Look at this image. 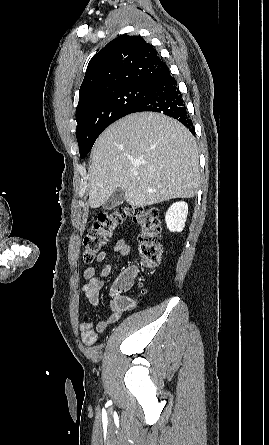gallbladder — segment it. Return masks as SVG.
Segmentation results:
<instances>
[{
    "label": "gallbladder",
    "mask_w": 269,
    "mask_h": 445,
    "mask_svg": "<svg viewBox=\"0 0 269 445\" xmlns=\"http://www.w3.org/2000/svg\"><path fill=\"white\" fill-rule=\"evenodd\" d=\"M125 201V192L123 189H116L108 200L103 204V208L106 210H112L115 207L121 205Z\"/></svg>",
    "instance_id": "obj_1"
}]
</instances>
